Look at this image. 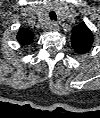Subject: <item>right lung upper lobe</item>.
<instances>
[{
  "label": "right lung upper lobe",
  "instance_id": "right-lung-upper-lobe-1",
  "mask_svg": "<svg viewBox=\"0 0 100 118\" xmlns=\"http://www.w3.org/2000/svg\"><path fill=\"white\" fill-rule=\"evenodd\" d=\"M33 33L26 29H20L17 34V40L21 45H29L32 43Z\"/></svg>",
  "mask_w": 100,
  "mask_h": 118
}]
</instances>
